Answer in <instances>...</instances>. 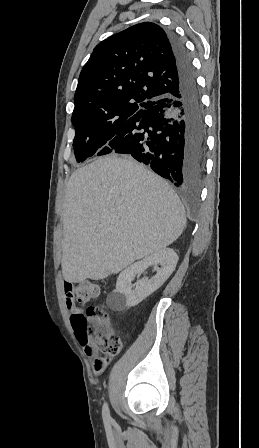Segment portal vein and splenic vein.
I'll list each match as a JSON object with an SVG mask.
<instances>
[{
	"label": "portal vein and splenic vein",
	"instance_id": "portal-vein-and-splenic-vein-1",
	"mask_svg": "<svg viewBox=\"0 0 259 448\" xmlns=\"http://www.w3.org/2000/svg\"><path fill=\"white\" fill-rule=\"evenodd\" d=\"M111 214H113V210H111Z\"/></svg>",
	"mask_w": 259,
	"mask_h": 448
}]
</instances>
